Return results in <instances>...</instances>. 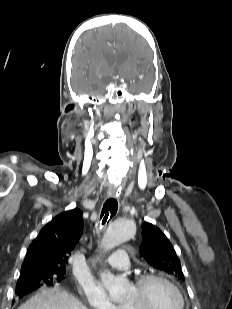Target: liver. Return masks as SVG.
Here are the masks:
<instances>
[{
  "instance_id": "6515ba94",
  "label": "liver",
  "mask_w": 232,
  "mask_h": 309,
  "mask_svg": "<svg viewBox=\"0 0 232 309\" xmlns=\"http://www.w3.org/2000/svg\"><path fill=\"white\" fill-rule=\"evenodd\" d=\"M18 309H88L73 295L60 288L43 289Z\"/></svg>"
}]
</instances>
